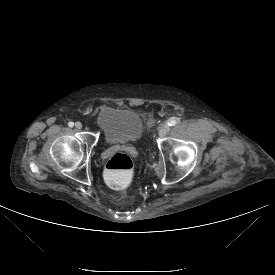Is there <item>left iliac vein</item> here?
<instances>
[{
  "label": "left iliac vein",
  "mask_w": 275,
  "mask_h": 275,
  "mask_svg": "<svg viewBox=\"0 0 275 275\" xmlns=\"http://www.w3.org/2000/svg\"><path fill=\"white\" fill-rule=\"evenodd\" d=\"M169 129L168 123H161L158 127V133L161 137L165 136L169 132Z\"/></svg>",
  "instance_id": "1"
}]
</instances>
